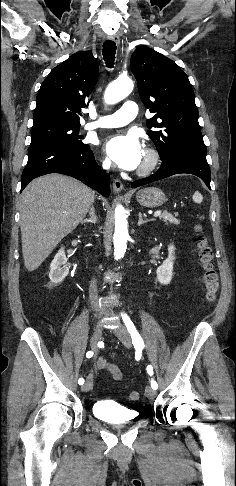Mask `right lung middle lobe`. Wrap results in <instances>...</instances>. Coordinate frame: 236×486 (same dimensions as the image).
I'll list each match as a JSON object with an SVG mask.
<instances>
[{
	"label": "right lung middle lobe",
	"mask_w": 236,
	"mask_h": 486,
	"mask_svg": "<svg viewBox=\"0 0 236 486\" xmlns=\"http://www.w3.org/2000/svg\"><path fill=\"white\" fill-rule=\"evenodd\" d=\"M80 124L68 125L57 123H46L36 125L32 127V145L39 144H54L65 147H84L81 139L82 137L77 135L79 132Z\"/></svg>",
	"instance_id": "right-lung-middle-lobe-1"
}]
</instances>
